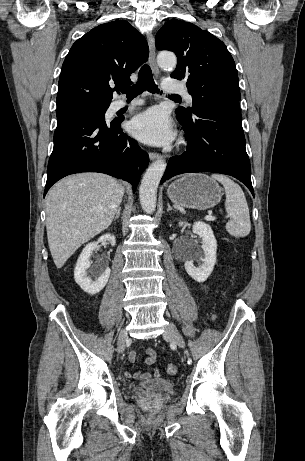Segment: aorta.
Listing matches in <instances>:
<instances>
[{
    "instance_id": "762f6f07",
    "label": "aorta",
    "mask_w": 305,
    "mask_h": 461,
    "mask_svg": "<svg viewBox=\"0 0 305 461\" xmlns=\"http://www.w3.org/2000/svg\"><path fill=\"white\" fill-rule=\"evenodd\" d=\"M158 64L163 69H174L177 64L173 53L163 52L157 57ZM166 162L157 160L146 170L139 189V198L143 210L150 214L155 211L157 201V188L165 172Z\"/></svg>"
}]
</instances>
